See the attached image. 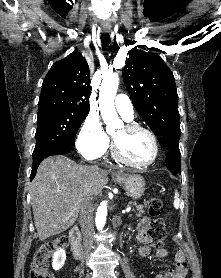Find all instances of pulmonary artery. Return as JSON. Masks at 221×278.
<instances>
[{"label": "pulmonary artery", "mask_w": 221, "mask_h": 278, "mask_svg": "<svg viewBox=\"0 0 221 278\" xmlns=\"http://www.w3.org/2000/svg\"><path fill=\"white\" fill-rule=\"evenodd\" d=\"M115 108L126 121H131L134 118V109L131 100L126 95H118L115 98Z\"/></svg>", "instance_id": "pulmonary-artery-1"}]
</instances>
